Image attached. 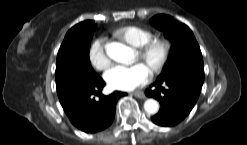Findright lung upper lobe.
Here are the masks:
<instances>
[{
    "label": "right lung upper lobe",
    "mask_w": 247,
    "mask_h": 145,
    "mask_svg": "<svg viewBox=\"0 0 247 145\" xmlns=\"http://www.w3.org/2000/svg\"><path fill=\"white\" fill-rule=\"evenodd\" d=\"M92 26H95L94 22L93 21H90V20H87V21H84V22H81V23L75 25L70 30H75V29H80V28H86V27H92Z\"/></svg>",
    "instance_id": "1"
}]
</instances>
